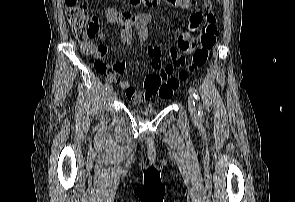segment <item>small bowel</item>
<instances>
[{"mask_svg": "<svg viewBox=\"0 0 295 202\" xmlns=\"http://www.w3.org/2000/svg\"><path fill=\"white\" fill-rule=\"evenodd\" d=\"M175 3L180 7L193 8L189 18V32H184L179 36L177 46H172L167 49L169 62L163 68H161L163 55L162 48L156 45L150 46L148 48V55L151 58L152 66L155 69H160V73H170V70H174V67L180 64L178 61L181 57L180 51L190 53L194 49L195 43L190 38V32L194 31L200 25L205 26L208 23H214L216 20L213 12V5L210 0H204V12L195 9L192 0H175ZM93 17L99 28L98 18L96 16ZM151 18L152 17L149 13L133 14L130 11L114 7L108 8L106 10L107 22L121 26V39L126 45L132 44V26L136 28L138 37L141 41H146L148 39V26ZM81 48L84 52L93 53L99 59H102L107 53V47L103 44L94 45L91 43L81 46ZM110 66V70L105 71V64L97 63L96 70L99 73L104 74L107 80L118 83L120 87L125 90L127 97L132 102L142 103L144 101L150 100L153 97V91L145 90V88L142 91H136L129 82L120 79L121 72H124V63H111Z\"/></svg>", "mask_w": 295, "mask_h": 202, "instance_id": "1", "label": "small bowel"}]
</instances>
